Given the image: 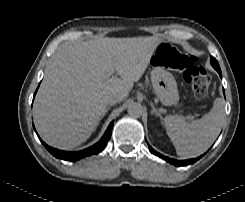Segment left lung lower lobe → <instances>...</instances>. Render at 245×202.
Listing matches in <instances>:
<instances>
[{
    "label": "left lung lower lobe",
    "instance_id": "obj_1",
    "mask_svg": "<svg viewBox=\"0 0 245 202\" xmlns=\"http://www.w3.org/2000/svg\"><path fill=\"white\" fill-rule=\"evenodd\" d=\"M221 76V73L219 74ZM149 150L151 153L159 156L160 158L166 160L167 162H170L171 164H174L176 166H185V165H189V164H193L194 162H196L199 158H195V159H191V160H175V159H171L168 158L166 156L161 155L160 153L156 152L154 149H152L151 147H149Z\"/></svg>",
    "mask_w": 245,
    "mask_h": 202
}]
</instances>
